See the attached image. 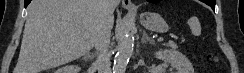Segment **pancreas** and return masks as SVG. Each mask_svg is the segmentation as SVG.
<instances>
[{"instance_id": "obj_1", "label": "pancreas", "mask_w": 244, "mask_h": 73, "mask_svg": "<svg viewBox=\"0 0 244 73\" xmlns=\"http://www.w3.org/2000/svg\"><path fill=\"white\" fill-rule=\"evenodd\" d=\"M167 46H168V47H171V48H173V49H176V48H177V44H176L175 42H173V41H169V42L167 43Z\"/></svg>"}]
</instances>
